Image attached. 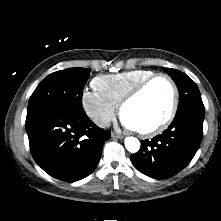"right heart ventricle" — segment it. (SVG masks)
Here are the masks:
<instances>
[{"mask_svg":"<svg viewBox=\"0 0 221 221\" xmlns=\"http://www.w3.org/2000/svg\"><path fill=\"white\" fill-rule=\"evenodd\" d=\"M155 74L151 70L135 69L117 74L101 75L92 81L94 90L119 105L123 97L136 85Z\"/></svg>","mask_w":221,"mask_h":221,"instance_id":"right-heart-ventricle-1","label":"right heart ventricle"}]
</instances>
